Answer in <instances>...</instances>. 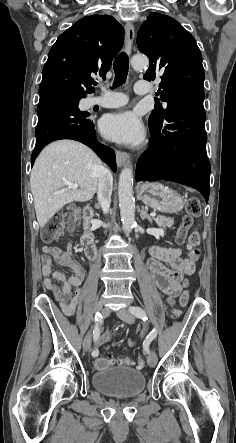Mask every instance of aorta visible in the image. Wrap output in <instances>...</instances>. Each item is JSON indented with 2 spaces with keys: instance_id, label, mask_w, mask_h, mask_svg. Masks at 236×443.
Instances as JSON below:
<instances>
[{
  "instance_id": "obj_1",
  "label": "aorta",
  "mask_w": 236,
  "mask_h": 443,
  "mask_svg": "<svg viewBox=\"0 0 236 443\" xmlns=\"http://www.w3.org/2000/svg\"><path fill=\"white\" fill-rule=\"evenodd\" d=\"M148 58L144 55H135L131 59L132 67L136 70L148 65ZM120 216L125 232H130L135 223V199L133 196V170L126 166L122 169L118 186Z\"/></svg>"
}]
</instances>
